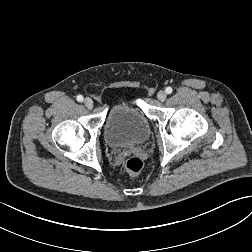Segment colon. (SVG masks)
<instances>
[{
  "label": "colon",
  "instance_id": "1",
  "mask_svg": "<svg viewBox=\"0 0 252 252\" xmlns=\"http://www.w3.org/2000/svg\"><path fill=\"white\" fill-rule=\"evenodd\" d=\"M124 168L130 175H137L143 168V162L140 158L131 156L125 160Z\"/></svg>",
  "mask_w": 252,
  "mask_h": 252
}]
</instances>
